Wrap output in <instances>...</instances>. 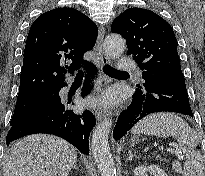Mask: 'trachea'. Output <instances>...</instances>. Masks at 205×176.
Instances as JSON below:
<instances>
[{
	"label": "trachea",
	"instance_id": "3493384b",
	"mask_svg": "<svg viewBox=\"0 0 205 176\" xmlns=\"http://www.w3.org/2000/svg\"><path fill=\"white\" fill-rule=\"evenodd\" d=\"M103 71L108 75H113V74H116V73H125V72L116 70V69H114L113 67H111L109 65H105L103 67ZM82 76H83V72L79 71L78 74H77V77H82Z\"/></svg>",
	"mask_w": 205,
	"mask_h": 176
}]
</instances>
